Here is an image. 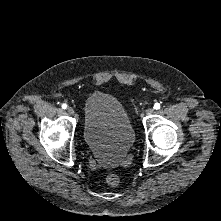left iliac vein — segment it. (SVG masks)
I'll return each mask as SVG.
<instances>
[{
  "label": "left iliac vein",
  "instance_id": "left-iliac-vein-1",
  "mask_svg": "<svg viewBox=\"0 0 221 221\" xmlns=\"http://www.w3.org/2000/svg\"><path fill=\"white\" fill-rule=\"evenodd\" d=\"M154 111H155L154 108H148L147 111H146V114L151 115V114L154 113Z\"/></svg>",
  "mask_w": 221,
  "mask_h": 221
}]
</instances>
